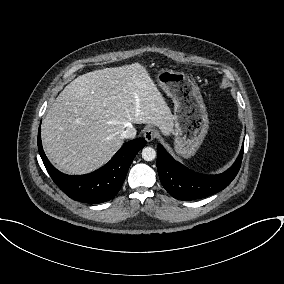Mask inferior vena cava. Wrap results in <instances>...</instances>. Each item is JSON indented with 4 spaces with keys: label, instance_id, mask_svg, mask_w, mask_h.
Instances as JSON below:
<instances>
[{
    "label": "inferior vena cava",
    "instance_id": "obj_1",
    "mask_svg": "<svg viewBox=\"0 0 284 284\" xmlns=\"http://www.w3.org/2000/svg\"><path fill=\"white\" fill-rule=\"evenodd\" d=\"M136 129L133 126L127 127L121 134V137L124 138H134L136 136Z\"/></svg>",
    "mask_w": 284,
    "mask_h": 284
}]
</instances>
